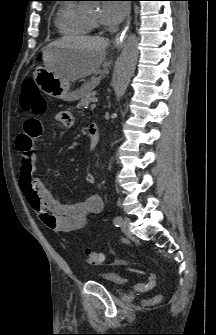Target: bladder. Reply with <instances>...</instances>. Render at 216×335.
I'll list each match as a JSON object with an SVG mask.
<instances>
[{"mask_svg": "<svg viewBox=\"0 0 216 335\" xmlns=\"http://www.w3.org/2000/svg\"><path fill=\"white\" fill-rule=\"evenodd\" d=\"M98 279L112 287H119L124 283V278L121 274L116 272H109L99 275Z\"/></svg>", "mask_w": 216, "mask_h": 335, "instance_id": "31cf9c89", "label": "bladder"}]
</instances>
